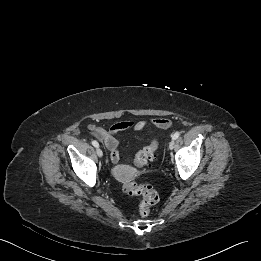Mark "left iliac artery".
<instances>
[{
  "label": "left iliac artery",
  "mask_w": 261,
  "mask_h": 261,
  "mask_svg": "<svg viewBox=\"0 0 261 261\" xmlns=\"http://www.w3.org/2000/svg\"><path fill=\"white\" fill-rule=\"evenodd\" d=\"M179 132H175L173 135H172V139H177L179 137Z\"/></svg>",
  "instance_id": "obj_1"
}]
</instances>
